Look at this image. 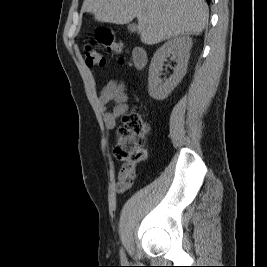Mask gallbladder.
<instances>
[{"mask_svg": "<svg viewBox=\"0 0 267 267\" xmlns=\"http://www.w3.org/2000/svg\"><path fill=\"white\" fill-rule=\"evenodd\" d=\"M128 29L130 30V31H136L137 30V25L136 24H134V23H131V24H129L128 25Z\"/></svg>", "mask_w": 267, "mask_h": 267, "instance_id": "1", "label": "gallbladder"}]
</instances>
